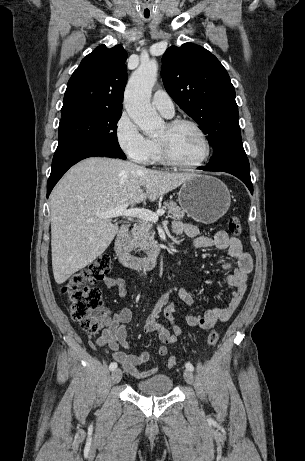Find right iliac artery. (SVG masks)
I'll return each mask as SVG.
<instances>
[{
  "label": "right iliac artery",
  "instance_id": "obj_1",
  "mask_svg": "<svg viewBox=\"0 0 305 461\" xmlns=\"http://www.w3.org/2000/svg\"><path fill=\"white\" fill-rule=\"evenodd\" d=\"M117 368V363L116 362H111L109 365V369L111 371L115 370Z\"/></svg>",
  "mask_w": 305,
  "mask_h": 461
}]
</instances>
